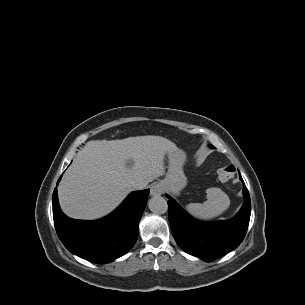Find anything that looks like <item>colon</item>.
I'll return each mask as SVG.
<instances>
[{"mask_svg":"<svg viewBox=\"0 0 305 305\" xmlns=\"http://www.w3.org/2000/svg\"><path fill=\"white\" fill-rule=\"evenodd\" d=\"M218 180L221 183L229 182L233 177V170L230 167H224L218 170Z\"/></svg>","mask_w":305,"mask_h":305,"instance_id":"colon-1","label":"colon"}]
</instances>
